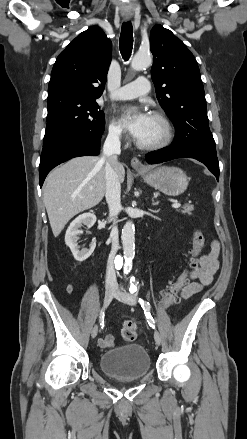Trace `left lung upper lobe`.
Returning a JSON list of instances; mask_svg holds the SVG:
<instances>
[{
  "instance_id": "obj_1",
  "label": "left lung upper lobe",
  "mask_w": 247,
  "mask_h": 439,
  "mask_svg": "<svg viewBox=\"0 0 247 439\" xmlns=\"http://www.w3.org/2000/svg\"><path fill=\"white\" fill-rule=\"evenodd\" d=\"M150 50L154 57L151 75L156 96L174 124V144L219 168L195 57L180 39L161 25L151 30Z\"/></svg>"
}]
</instances>
